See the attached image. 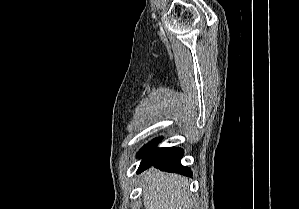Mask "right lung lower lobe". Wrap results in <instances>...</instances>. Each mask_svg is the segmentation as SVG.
Returning <instances> with one entry per match:
<instances>
[{"instance_id": "right-lung-lower-lobe-1", "label": "right lung lower lobe", "mask_w": 299, "mask_h": 209, "mask_svg": "<svg viewBox=\"0 0 299 209\" xmlns=\"http://www.w3.org/2000/svg\"><path fill=\"white\" fill-rule=\"evenodd\" d=\"M160 141L161 139H155L140 150L138 156L142 158V161L137 173L154 166L163 171L192 176L191 169L180 163L183 150L179 147L156 148Z\"/></svg>"}]
</instances>
